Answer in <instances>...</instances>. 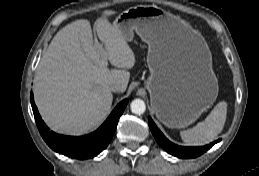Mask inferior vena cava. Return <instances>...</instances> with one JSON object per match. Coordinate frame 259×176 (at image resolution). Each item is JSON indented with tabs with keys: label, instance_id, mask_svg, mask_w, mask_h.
Segmentation results:
<instances>
[{
	"label": "inferior vena cava",
	"instance_id": "inferior-vena-cava-1",
	"mask_svg": "<svg viewBox=\"0 0 259 176\" xmlns=\"http://www.w3.org/2000/svg\"><path fill=\"white\" fill-rule=\"evenodd\" d=\"M109 89H110L112 92H120V91H122V87H121V85L118 84V83H112V84H110Z\"/></svg>",
	"mask_w": 259,
	"mask_h": 176
}]
</instances>
